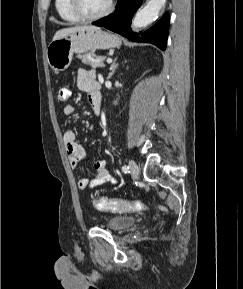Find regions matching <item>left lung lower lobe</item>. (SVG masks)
Masks as SVG:
<instances>
[{
  "label": "left lung lower lobe",
  "instance_id": "left-lung-lower-lobe-1",
  "mask_svg": "<svg viewBox=\"0 0 243 289\" xmlns=\"http://www.w3.org/2000/svg\"><path fill=\"white\" fill-rule=\"evenodd\" d=\"M142 0H118L116 10L113 14L93 22L96 26H103L114 31L134 42L152 43L165 50L168 29L169 14L165 13L163 17L148 31L144 33H132L130 26L131 20L137 9L141 6Z\"/></svg>",
  "mask_w": 243,
  "mask_h": 289
}]
</instances>
